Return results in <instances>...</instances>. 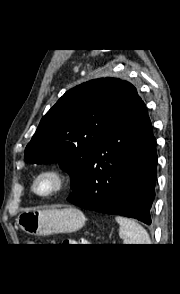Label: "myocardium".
Instances as JSON below:
<instances>
[{
	"label": "myocardium",
	"instance_id": "obj_1",
	"mask_svg": "<svg viewBox=\"0 0 180 294\" xmlns=\"http://www.w3.org/2000/svg\"><path fill=\"white\" fill-rule=\"evenodd\" d=\"M45 177H51L55 184L50 190L43 192L39 190L38 182ZM67 183L68 177L62 169L58 167H50L40 171L33 178L31 189L37 196L41 198H48L62 191L66 187Z\"/></svg>",
	"mask_w": 180,
	"mask_h": 294
}]
</instances>
